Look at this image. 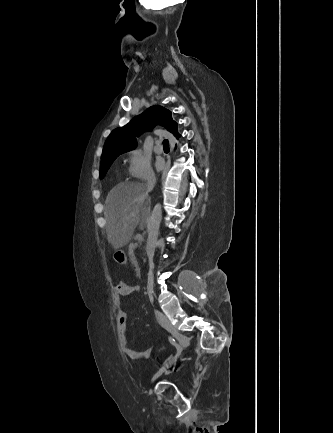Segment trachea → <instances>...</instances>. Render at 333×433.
Returning a JSON list of instances; mask_svg holds the SVG:
<instances>
[{
	"label": "trachea",
	"instance_id": "3493384b",
	"mask_svg": "<svg viewBox=\"0 0 333 433\" xmlns=\"http://www.w3.org/2000/svg\"><path fill=\"white\" fill-rule=\"evenodd\" d=\"M163 146H164V148H166V149H169V143H168V140H164L163 141Z\"/></svg>",
	"mask_w": 333,
	"mask_h": 433
}]
</instances>
